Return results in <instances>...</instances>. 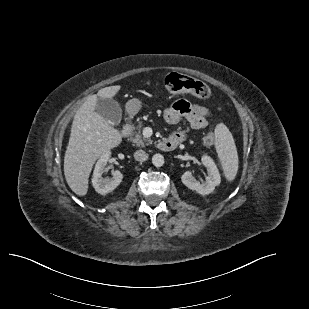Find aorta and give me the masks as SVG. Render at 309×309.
<instances>
[{
	"label": "aorta",
	"instance_id": "aorta-1",
	"mask_svg": "<svg viewBox=\"0 0 309 309\" xmlns=\"http://www.w3.org/2000/svg\"><path fill=\"white\" fill-rule=\"evenodd\" d=\"M152 163L155 167H161L164 164V157L161 154H154L152 157Z\"/></svg>",
	"mask_w": 309,
	"mask_h": 309
}]
</instances>
